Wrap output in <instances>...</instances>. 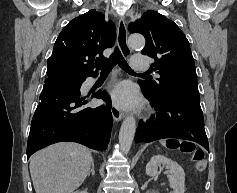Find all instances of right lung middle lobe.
<instances>
[{"mask_svg": "<svg viewBox=\"0 0 237 193\" xmlns=\"http://www.w3.org/2000/svg\"><path fill=\"white\" fill-rule=\"evenodd\" d=\"M47 74L48 75L53 74V75H56V76L64 78V79H75L77 81L80 80V78L70 76L68 74H65V73H63L61 71H57V70L47 71Z\"/></svg>", "mask_w": 237, "mask_h": 193, "instance_id": "dd1d6c3e", "label": "right lung middle lobe"}]
</instances>
